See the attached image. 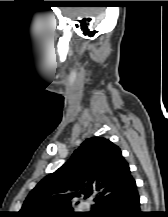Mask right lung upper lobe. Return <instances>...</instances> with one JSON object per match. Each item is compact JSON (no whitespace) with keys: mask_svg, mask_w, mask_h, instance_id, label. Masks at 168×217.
I'll use <instances>...</instances> for the list:
<instances>
[{"mask_svg":"<svg viewBox=\"0 0 168 217\" xmlns=\"http://www.w3.org/2000/svg\"><path fill=\"white\" fill-rule=\"evenodd\" d=\"M136 188L121 150L105 138L86 139L71 158L42 179L27 196L19 217L81 215L93 217L108 202ZM96 195L95 212H74L79 197Z\"/></svg>","mask_w":168,"mask_h":217,"instance_id":"cb5924a9","label":"right lung upper lobe"}]
</instances>
